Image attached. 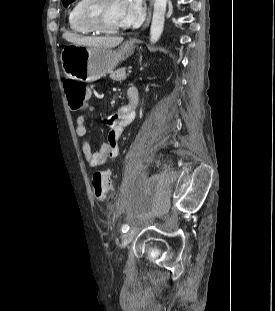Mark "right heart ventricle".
Returning a JSON list of instances; mask_svg holds the SVG:
<instances>
[{"label": "right heart ventricle", "mask_w": 275, "mask_h": 311, "mask_svg": "<svg viewBox=\"0 0 275 311\" xmlns=\"http://www.w3.org/2000/svg\"><path fill=\"white\" fill-rule=\"evenodd\" d=\"M85 3V0H75L72 7L68 13V26L69 28L78 34H92L94 31L85 25L79 18H78V10L79 8Z\"/></svg>", "instance_id": "right-heart-ventricle-1"}]
</instances>
